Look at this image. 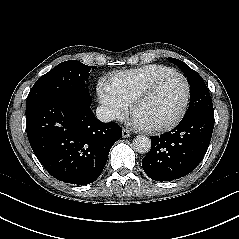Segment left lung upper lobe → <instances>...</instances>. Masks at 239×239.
<instances>
[{
  "label": "left lung upper lobe",
  "instance_id": "5c2ea615",
  "mask_svg": "<svg viewBox=\"0 0 239 239\" xmlns=\"http://www.w3.org/2000/svg\"><path fill=\"white\" fill-rule=\"evenodd\" d=\"M168 60L183 71L190 85V103L184 117L201 111H213L210 93L203 78L184 62L175 58H168Z\"/></svg>",
  "mask_w": 239,
  "mask_h": 239
}]
</instances>
